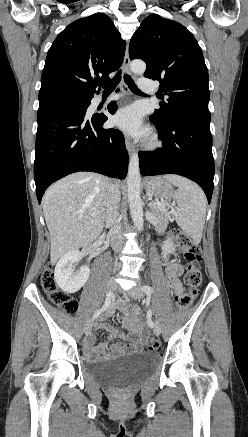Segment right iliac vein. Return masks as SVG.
<instances>
[{
    "instance_id": "obj_1",
    "label": "right iliac vein",
    "mask_w": 248,
    "mask_h": 437,
    "mask_svg": "<svg viewBox=\"0 0 248 437\" xmlns=\"http://www.w3.org/2000/svg\"><path fill=\"white\" fill-rule=\"evenodd\" d=\"M115 288H116V283H115L114 279L113 278L109 279L107 282V291L111 292ZM92 327H93V323L91 321H88L85 325V328H84V332L86 335H88L91 332Z\"/></svg>"
}]
</instances>
